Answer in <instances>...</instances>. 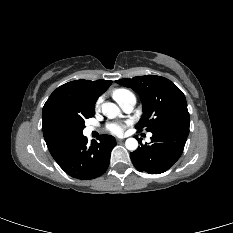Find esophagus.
<instances>
[{
    "label": "esophagus",
    "mask_w": 233,
    "mask_h": 233,
    "mask_svg": "<svg viewBox=\"0 0 233 233\" xmlns=\"http://www.w3.org/2000/svg\"><path fill=\"white\" fill-rule=\"evenodd\" d=\"M123 141V139H117V142L118 143H120V142H122Z\"/></svg>",
    "instance_id": "1"
}]
</instances>
